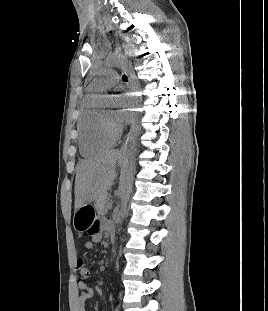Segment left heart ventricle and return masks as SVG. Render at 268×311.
<instances>
[{
	"label": "left heart ventricle",
	"mask_w": 268,
	"mask_h": 311,
	"mask_svg": "<svg viewBox=\"0 0 268 311\" xmlns=\"http://www.w3.org/2000/svg\"><path fill=\"white\" fill-rule=\"evenodd\" d=\"M103 113H104L108 118L114 119L113 110H111V109H106V110L103 111Z\"/></svg>",
	"instance_id": "b2bd125f"
}]
</instances>
